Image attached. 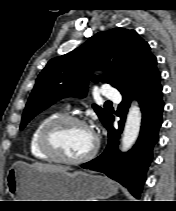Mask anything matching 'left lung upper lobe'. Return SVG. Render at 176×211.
Segmentation results:
<instances>
[{
  "instance_id": "5c2ea615",
  "label": "left lung upper lobe",
  "mask_w": 176,
  "mask_h": 211,
  "mask_svg": "<svg viewBox=\"0 0 176 211\" xmlns=\"http://www.w3.org/2000/svg\"><path fill=\"white\" fill-rule=\"evenodd\" d=\"M102 68L106 73L101 79L89 75ZM158 74L156 57L136 31L116 28L99 32L74 51L48 62L28 99L20 129L61 98L85 97L89 80L109 83L126 94ZM93 108L106 126L112 114L97 105Z\"/></svg>"
}]
</instances>
